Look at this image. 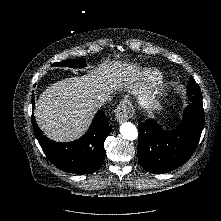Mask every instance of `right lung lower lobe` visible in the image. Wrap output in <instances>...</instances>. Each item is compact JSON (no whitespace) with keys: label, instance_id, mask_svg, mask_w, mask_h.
<instances>
[{"label":"right lung lower lobe","instance_id":"obj_1","mask_svg":"<svg viewBox=\"0 0 221 221\" xmlns=\"http://www.w3.org/2000/svg\"><path fill=\"white\" fill-rule=\"evenodd\" d=\"M109 120L103 111H98L82 138L74 142L57 143L43 135L32 115L35 136L48 159L58 168L75 174L93 173L101 167L105 158L104 142L111 131Z\"/></svg>","mask_w":221,"mask_h":221}]
</instances>
